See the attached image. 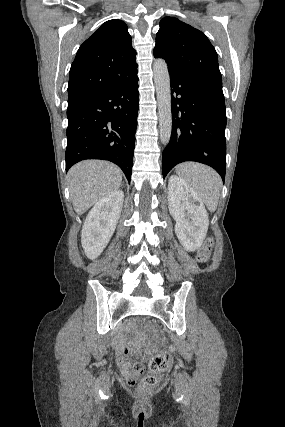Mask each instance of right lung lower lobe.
<instances>
[{
  "mask_svg": "<svg viewBox=\"0 0 285 427\" xmlns=\"http://www.w3.org/2000/svg\"><path fill=\"white\" fill-rule=\"evenodd\" d=\"M138 77L68 102L66 171L86 159L117 164L130 183L138 115Z\"/></svg>",
  "mask_w": 285,
  "mask_h": 427,
  "instance_id": "98d812e1",
  "label": "right lung lower lobe"
}]
</instances>
